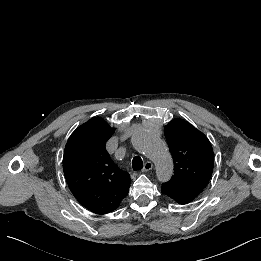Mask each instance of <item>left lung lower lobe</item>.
Masks as SVG:
<instances>
[{"label":"left lung lower lobe","instance_id":"1","mask_svg":"<svg viewBox=\"0 0 261 261\" xmlns=\"http://www.w3.org/2000/svg\"><path fill=\"white\" fill-rule=\"evenodd\" d=\"M161 192L163 194L169 196L170 198L174 199L179 204H187V203H189L190 201L193 200L190 197H187L185 195H181V194L175 193V192H173L171 190H168L166 188H163V187L161 189Z\"/></svg>","mask_w":261,"mask_h":261}]
</instances>
